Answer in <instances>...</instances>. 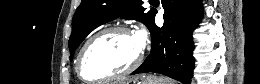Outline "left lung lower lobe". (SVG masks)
<instances>
[{"instance_id":"left-lung-lower-lobe-1","label":"left lung lower lobe","mask_w":260,"mask_h":84,"mask_svg":"<svg viewBox=\"0 0 260 84\" xmlns=\"http://www.w3.org/2000/svg\"><path fill=\"white\" fill-rule=\"evenodd\" d=\"M164 25H150L151 52L132 74L155 72L190 84L194 69L192 31L203 15L202 0H162ZM156 14V12H155Z\"/></svg>"}]
</instances>
